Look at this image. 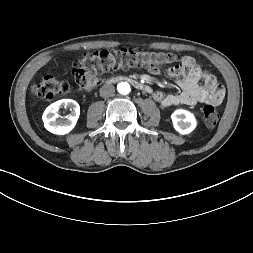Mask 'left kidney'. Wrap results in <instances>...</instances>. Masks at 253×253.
Masks as SVG:
<instances>
[{
    "label": "left kidney",
    "instance_id": "1",
    "mask_svg": "<svg viewBox=\"0 0 253 253\" xmlns=\"http://www.w3.org/2000/svg\"><path fill=\"white\" fill-rule=\"evenodd\" d=\"M171 118L175 130L180 134H189L196 128V118L187 110L177 109L173 112Z\"/></svg>",
    "mask_w": 253,
    "mask_h": 253
}]
</instances>
